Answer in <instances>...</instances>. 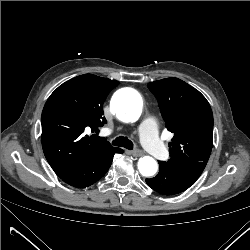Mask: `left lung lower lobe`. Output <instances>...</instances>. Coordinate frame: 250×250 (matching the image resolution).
<instances>
[{
	"label": "left lung lower lobe",
	"instance_id": "1",
	"mask_svg": "<svg viewBox=\"0 0 250 250\" xmlns=\"http://www.w3.org/2000/svg\"><path fill=\"white\" fill-rule=\"evenodd\" d=\"M159 166L158 175L146 179V183L161 194L173 195L188 189L198 179L206 165L202 162L170 164L159 161Z\"/></svg>",
	"mask_w": 250,
	"mask_h": 250
}]
</instances>
